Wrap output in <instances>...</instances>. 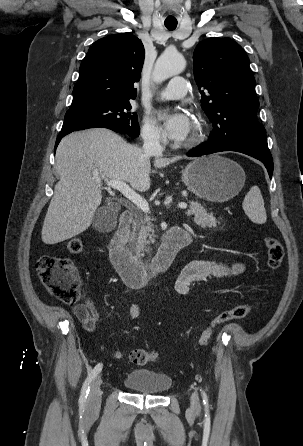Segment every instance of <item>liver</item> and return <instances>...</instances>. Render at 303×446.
<instances>
[{
    "label": "liver",
    "mask_w": 303,
    "mask_h": 446,
    "mask_svg": "<svg viewBox=\"0 0 303 446\" xmlns=\"http://www.w3.org/2000/svg\"><path fill=\"white\" fill-rule=\"evenodd\" d=\"M182 158L155 155L153 164L164 168ZM55 159L60 180L42 227L45 244L71 239L89 228L102 200L101 183L97 180L128 182L141 192L151 185L150 156L108 129L65 136L57 147Z\"/></svg>",
    "instance_id": "6515ba94"
}]
</instances>
